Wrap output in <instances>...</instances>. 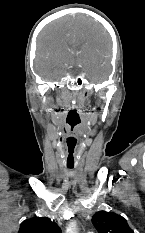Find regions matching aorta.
I'll list each match as a JSON object with an SVG mask.
<instances>
[{
	"mask_svg": "<svg viewBox=\"0 0 145 233\" xmlns=\"http://www.w3.org/2000/svg\"><path fill=\"white\" fill-rule=\"evenodd\" d=\"M76 228H77L76 222H71L67 227L66 233H77Z\"/></svg>",
	"mask_w": 145,
	"mask_h": 233,
	"instance_id": "obj_1",
	"label": "aorta"
}]
</instances>
